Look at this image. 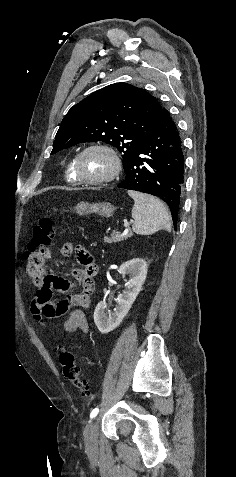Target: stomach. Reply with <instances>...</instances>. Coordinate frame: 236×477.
<instances>
[{"instance_id": "obj_1", "label": "stomach", "mask_w": 236, "mask_h": 477, "mask_svg": "<svg viewBox=\"0 0 236 477\" xmlns=\"http://www.w3.org/2000/svg\"><path fill=\"white\" fill-rule=\"evenodd\" d=\"M74 210L79 215L98 213L100 216L103 217H111L113 216L116 208L112 204L107 202L93 204H90L88 202H80L75 206Z\"/></svg>"}]
</instances>
